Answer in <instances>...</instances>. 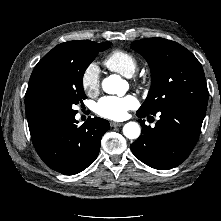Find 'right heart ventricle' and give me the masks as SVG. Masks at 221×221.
I'll list each match as a JSON object with an SVG mask.
<instances>
[{
	"mask_svg": "<svg viewBox=\"0 0 221 221\" xmlns=\"http://www.w3.org/2000/svg\"><path fill=\"white\" fill-rule=\"evenodd\" d=\"M105 66L122 76L131 77L138 68L136 57L125 50H113L104 59Z\"/></svg>",
	"mask_w": 221,
	"mask_h": 221,
	"instance_id": "1",
	"label": "right heart ventricle"
}]
</instances>
